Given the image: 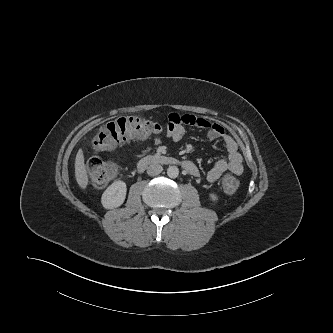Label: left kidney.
<instances>
[{"instance_id": "obj_1", "label": "left kidney", "mask_w": 333, "mask_h": 333, "mask_svg": "<svg viewBox=\"0 0 333 333\" xmlns=\"http://www.w3.org/2000/svg\"><path fill=\"white\" fill-rule=\"evenodd\" d=\"M209 197L210 199L213 201V202H217L218 201V196L214 193H210L209 194Z\"/></svg>"}]
</instances>
